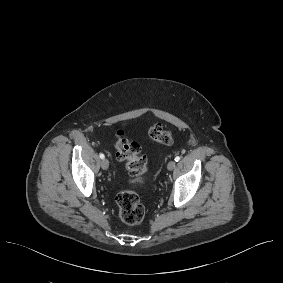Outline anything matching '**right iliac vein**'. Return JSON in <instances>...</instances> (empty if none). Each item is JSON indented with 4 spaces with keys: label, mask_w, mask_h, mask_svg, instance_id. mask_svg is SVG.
Listing matches in <instances>:
<instances>
[{
    "label": "right iliac vein",
    "mask_w": 283,
    "mask_h": 283,
    "mask_svg": "<svg viewBox=\"0 0 283 283\" xmlns=\"http://www.w3.org/2000/svg\"><path fill=\"white\" fill-rule=\"evenodd\" d=\"M101 167L104 169V170H107L108 167H109V162L106 158L102 159L101 161Z\"/></svg>",
    "instance_id": "1"
}]
</instances>
